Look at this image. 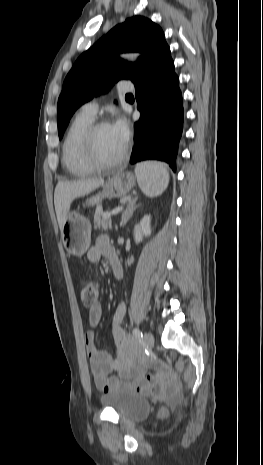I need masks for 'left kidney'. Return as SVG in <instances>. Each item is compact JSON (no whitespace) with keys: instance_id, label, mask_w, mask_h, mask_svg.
Instances as JSON below:
<instances>
[{"instance_id":"1","label":"left kidney","mask_w":263,"mask_h":465,"mask_svg":"<svg viewBox=\"0 0 263 465\" xmlns=\"http://www.w3.org/2000/svg\"><path fill=\"white\" fill-rule=\"evenodd\" d=\"M151 216L145 215L139 224H137L134 228V238L135 242L139 243L142 241L143 237H147L151 234Z\"/></svg>"}]
</instances>
